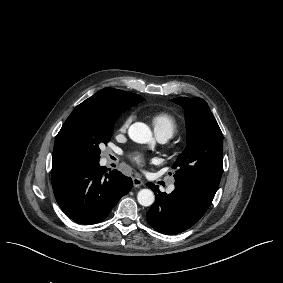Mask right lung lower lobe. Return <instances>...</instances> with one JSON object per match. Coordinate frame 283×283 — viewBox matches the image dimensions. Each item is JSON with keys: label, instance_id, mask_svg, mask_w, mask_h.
Wrapping results in <instances>:
<instances>
[{"label": "right lung lower lobe", "instance_id": "98d812e1", "mask_svg": "<svg viewBox=\"0 0 283 283\" xmlns=\"http://www.w3.org/2000/svg\"><path fill=\"white\" fill-rule=\"evenodd\" d=\"M52 186L65 214L80 224H95L131 190L132 179L117 170L106 174L105 167L94 162L52 178Z\"/></svg>", "mask_w": 283, "mask_h": 283}]
</instances>
